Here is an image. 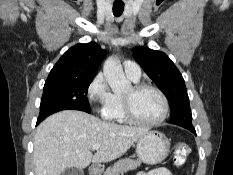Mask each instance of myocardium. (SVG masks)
Instances as JSON below:
<instances>
[{"instance_id":"myocardium-1","label":"myocardium","mask_w":233,"mask_h":175,"mask_svg":"<svg viewBox=\"0 0 233 175\" xmlns=\"http://www.w3.org/2000/svg\"><path fill=\"white\" fill-rule=\"evenodd\" d=\"M131 88H132L133 93H138L146 89L155 91L161 98V101L163 104V110H162V114L160 115V117L157 118L156 120H153V121L140 120L134 114L131 97L123 95L122 96L123 111H124V114L127 120L130 123L138 125V126H143V127H152V126H157L161 124L163 121H165V119L168 116V112H169V101L165 93L159 87L152 85V84H148V83H138V84L133 85Z\"/></svg>"}]
</instances>
